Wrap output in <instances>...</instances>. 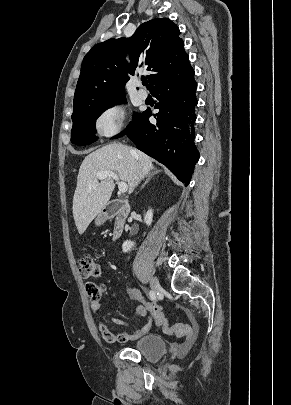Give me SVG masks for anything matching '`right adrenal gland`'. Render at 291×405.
I'll use <instances>...</instances> for the list:
<instances>
[{
	"label": "right adrenal gland",
	"mask_w": 291,
	"mask_h": 405,
	"mask_svg": "<svg viewBox=\"0 0 291 405\" xmlns=\"http://www.w3.org/2000/svg\"><path fill=\"white\" fill-rule=\"evenodd\" d=\"M160 172V170L154 169V172H152L151 174L148 175L146 181L144 182V184L141 186V189L144 188V186L153 178V176H155L156 174H158Z\"/></svg>",
	"instance_id": "1"
}]
</instances>
